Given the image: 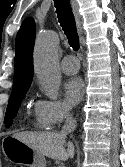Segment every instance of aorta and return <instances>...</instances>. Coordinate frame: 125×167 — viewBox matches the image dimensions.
I'll return each mask as SVG.
<instances>
[{
    "instance_id": "762f6f07",
    "label": "aorta",
    "mask_w": 125,
    "mask_h": 167,
    "mask_svg": "<svg viewBox=\"0 0 125 167\" xmlns=\"http://www.w3.org/2000/svg\"><path fill=\"white\" fill-rule=\"evenodd\" d=\"M59 36L55 31L38 35L34 47V67L44 94L56 100L61 84L58 64Z\"/></svg>"
}]
</instances>
